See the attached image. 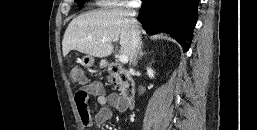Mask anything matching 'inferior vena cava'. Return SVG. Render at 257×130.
<instances>
[{
    "instance_id": "obj_1",
    "label": "inferior vena cava",
    "mask_w": 257,
    "mask_h": 130,
    "mask_svg": "<svg viewBox=\"0 0 257 130\" xmlns=\"http://www.w3.org/2000/svg\"><path fill=\"white\" fill-rule=\"evenodd\" d=\"M130 16H135L134 12H128ZM132 39H131V56H130V62H134V58L136 56L137 50L141 44L140 40V30L139 27L136 24V20H132Z\"/></svg>"
}]
</instances>
